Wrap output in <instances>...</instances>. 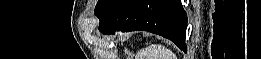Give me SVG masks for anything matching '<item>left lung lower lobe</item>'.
<instances>
[{"label":"left lung lower lobe","instance_id":"left-lung-lower-lobe-1","mask_svg":"<svg viewBox=\"0 0 261 59\" xmlns=\"http://www.w3.org/2000/svg\"><path fill=\"white\" fill-rule=\"evenodd\" d=\"M186 12L180 0H120L100 21L103 34L143 30L161 35L187 51Z\"/></svg>","mask_w":261,"mask_h":59}]
</instances>
